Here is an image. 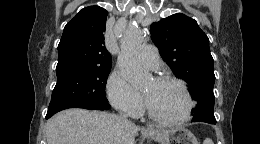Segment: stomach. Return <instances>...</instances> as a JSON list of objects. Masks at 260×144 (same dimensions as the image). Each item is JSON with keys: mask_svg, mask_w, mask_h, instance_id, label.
Instances as JSON below:
<instances>
[{"mask_svg": "<svg viewBox=\"0 0 260 144\" xmlns=\"http://www.w3.org/2000/svg\"><path fill=\"white\" fill-rule=\"evenodd\" d=\"M148 135L159 144H199L194 134L183 127L151 129Z\"/></svg>", "mask_w": 260, "mask_h": 144, "instance_id": "obj_1", "label": "stomach"}]
</instances>
